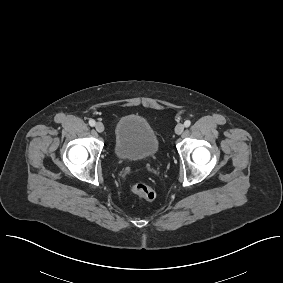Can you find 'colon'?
Returning <instances> with one entry per match:
<instances>
[{
  "instance_id": "1",
  "label": "colon",
  "mask_w": 283,
  "mask_h": 283,
  "mask_svg": "<svg viewBox=\"0 0 283 283\" xmlns=\"http://www.w3.org/2000/svg\"><path fill=\"white\" fill-rule=\"evenodd\" d=\"M132 191L146 200H154L156 198L155 190L145 182H136L132 186Z\"/></svg>"
}]
</instances>
